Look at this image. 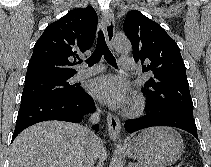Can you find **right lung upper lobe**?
<instances>
[{
  "label": "right lung upper lobe",
  "mask_w": 211,
  "mask_h": 167,
  "mask_svg": "<svg viewBox=\"0 0 211 167\" xmlns=\"http://www.w3.org/2000/svg\"><path fill=\"white\" fill-rule=\"evenodd\" d=\"M92 7L70 10L51 23L37 40L25 81L48 76H73L79 55L90 49L97 30Z\"/></svg>",
  "instance_id": "obj_1"
}]
</instances>
